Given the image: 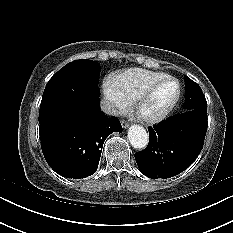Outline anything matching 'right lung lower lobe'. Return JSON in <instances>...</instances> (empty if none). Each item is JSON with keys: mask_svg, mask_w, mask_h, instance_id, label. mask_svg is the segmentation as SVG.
I'll return each instance as SVG.
<instances>
[{"mask_svg": "<svg viewBox=\"0 0 233 233\" xmlns=\"http://www.w3.org/2000/svg\"><path fill=\"white\" fill-rule=\"evenodd\" d=\"M122 132L116 117L100 109L99 97L81 93L74 118H56L39 125L41 148L47 163L59 175L80 179L97 170L105 139Z\"/></svg>", "mask_w": 233, "mask_h": 233, "instance_id": "right-lung-lower-lobe-1", "label": "right lung lower lobe"}]
</instances>
